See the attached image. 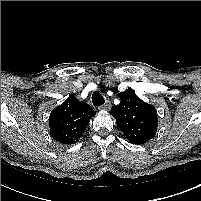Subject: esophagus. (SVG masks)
Segmentation results:
<instances>
[{
  "label": "esophagus",
  "instance_id": "34e87169",
  "mask_svg": "<svg viewBox=\"0 0 201 201\" xmlns=\"http://www.w3.org/2000/svg\"><path fill=\"white\" fill-rule=\"evenodd\" d=\"M111 108V102L109 100H106V102L99 107V109L102 110H109Z\"/></svg>",
  "mask_w": 201,
  "mask_h": 201
}]
</instances>
